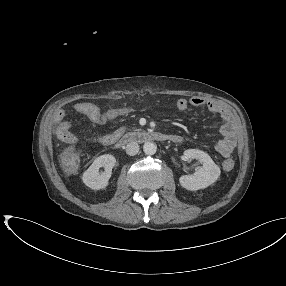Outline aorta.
Returning a JSON list of instances; mask_svg holds the SVG:
<instances>
[{
	"instance_id": "aorta-1",
	"label": "aorta",
	"mask_w": 286,
	"mask_h": 286,
	"mask_svg": "<svg viewBox=\"0 0 286 286\" xmlns=\"http://www.w3.org/2000/svg\"><path fill=\"white\" fill-rule=\"evenodd\" d=\"M143 151L146 155H154L157 151V146L154 142H145L143 145Z\"/></svg>"
}]
</instances>
